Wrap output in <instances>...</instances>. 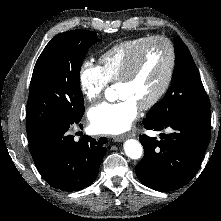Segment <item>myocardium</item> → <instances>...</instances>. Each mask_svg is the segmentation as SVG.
<instances>
[{
  "label": "myocardium",
  "instance_id": "obj_1",
  "mask_svg": "<svg viewBox=\"0 0 221 221\" xmlns=\"http://www.w3.org/2000/svg\"><path fill=\"white\" fill-rule=\"evenodd\" d=\"M155 42H163L167 46L169 52V66L163 84L149 101L140 106V109L142 110H150L155 107L163 99L171 86L176 67V51L172 41L169 38L160 35L148 38L129 59L123 74L117 81L118 83H126L132 80L139 68L146 48Z\"/></svg>",
  "mask_w": 221,
  "mask_h": 221
}]
</instances>
